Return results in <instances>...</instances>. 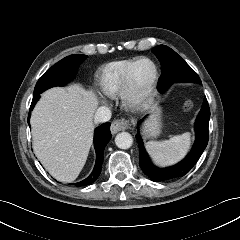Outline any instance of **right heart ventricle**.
<instances>
[{"mask_svg":"<svg viewBox=\"0 0 240 240\" xmlns=\"http://www.w3.org/2000/svg\"><path fill=\"white\" fill-rule=\"evenodd\" d=\"M136 59H121L106 64L99 74V86L102 91L112 97L122 94L124 77Z\"/></svg>","mask_w":240,"mask_h":240,"instance_id":"obj_1","label":"right heart ventricle"}]
</instances>
